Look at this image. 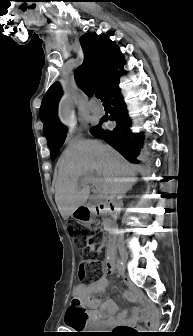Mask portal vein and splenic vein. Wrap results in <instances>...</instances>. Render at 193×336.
Returning a JSON list of instances; mask_svg holds the SVG:
<instances>
[{"label": "portal vein and splenic vein", "mask_w": 193, "mask_h": 336, "mask_svg": "<svg viewBox=\"0 0 193 336\" xmlns=\"http://www.w3.org/2000/svg\"><path fill=\"white\" fill-rule=\"evenodd\" d=\"M89 181H94L95 179L93 178V179H88Z\"/></svg>", "instance_id": "portal-vein-and-splenic-vein-1"}]
</instances>
